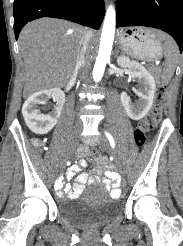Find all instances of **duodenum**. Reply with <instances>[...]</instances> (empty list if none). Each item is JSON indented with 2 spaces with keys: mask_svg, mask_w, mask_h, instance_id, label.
Returning <instances> with one entry per match:
<instances>
[{
  "mask_svg": "<svg viewBox=\"0 0 183 246\" xmlns=\"http://www.w3.org/2000/svg\"><path fill=\"white\" fill-rule=\"evenodd\" d=\"M81 150H82V151H85V150H86V147H85V146H82V147H81Z\"/></svg>",
  "mask_w": 183,
  "mask_h": 246,
  "instance_id": "410a0bca",
  "label": "duodenum"
}]
</instances>
